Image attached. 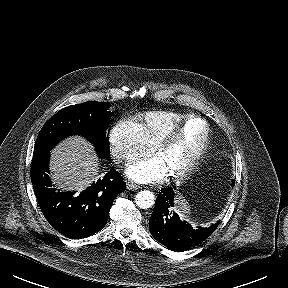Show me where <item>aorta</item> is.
<instances>
[{
    "label": "aorta",
    "mask_w": 288,
    "mask_h": 288,
    "mask_svg": "<svg viewBox=\"0 0 288 288\" xmlns=\"http://www.w3.org/2000/svg\"><path fill=\"white\" fill-rule=\"evenodd\" d=\"M135 203L141 209H148L154 205L155 195L148 190L140 191L135 196Z\"/></svg>",
    "instance_id": "aorta-1"
}]
</instances>
